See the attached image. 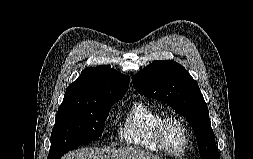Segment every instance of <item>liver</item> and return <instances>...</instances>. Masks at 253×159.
<instances>
[{
  "mask_svg": "<svg viewBox=\"0 0 253 159\" xmlns=\"http://www.w3.org/2000/svg\"><path fill=\"white\" fill-rule=\"evenodd\" d=\"M62 159H160L158 156L134 147L82 148L71 151Z\"/></svg>",
  "mask_w": 253,
  "mask_h": 159,
  "instance_id": "liver-1",
  "label": "liver"
}]
</instances>
